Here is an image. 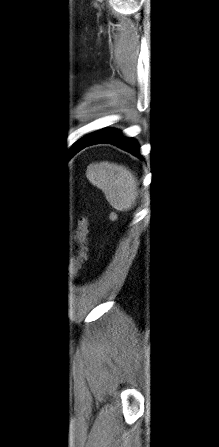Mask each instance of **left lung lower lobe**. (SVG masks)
I'll return each instance as SVG.
<instances>
[{"label": "left lung lower lobe", "instance_id": "obj_1", "mask_svg": "<svg viewBox=\"0 0 219 447\" xmlns=\"http://www.w3.org/2000/svg\"><path fill=\"white\" fill-rule=\"evenodd\" d=\"M98 143H111L132 153L137 157H142L140 155L139 146L136 143V141H134L131 138L123 136L120 131L114 129H103L91 134L86 139L80 141L79 143H76L72 147L69 156H73L78 151H80L81 149H83L88 145Z\"/></svg>", "mask_w": 219, "mask_h": 447}]
</instances>
